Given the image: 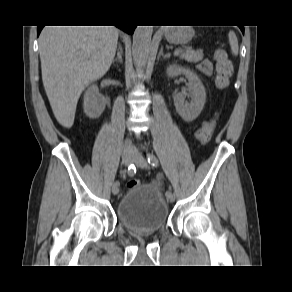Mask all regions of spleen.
<instances>
[{
	"mask_svg": "<svg viewBox=\"0 0 292 292\" xmlns=\"http://www.w3.org/2000/svg\"><path fill=\"white\" fill-rule=\"evenodd\" d=\"M228 37H229V43L231 46L232 53L236 56L238 55V49H239L237 37L233 31L229 32Z\"/></svg>",
	"mask_w": 292,
	"mask_h": 292,
	"instance_id": "spleen-1",
	"label": "spleen"
}]
</instances>
